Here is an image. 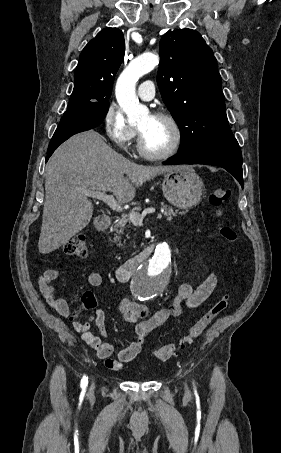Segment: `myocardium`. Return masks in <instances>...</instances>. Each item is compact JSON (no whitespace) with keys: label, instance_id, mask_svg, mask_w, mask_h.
Returning <instances> with one entry per match:
<instances>
[{"label":"myocardium","instance_id":"1","mask_svg":"<svg viewBox=\"0 0 281 453\" xmlns=\"http://www.w3.org/2000/svg\"><path fill=\"white\" fill-rule=\"evenodd\" d=\"M152 117L165 122L171 128L172 133H173L172 144H171L170 148L163 153L151 152V151L147 150V148L145 147L143 135H142L141 131L138 129L137 150H138V153L146 159L166 160V159L172 157L173 155H175V153L177 152V150L180 146L181 140H182V133H181L180 127L178 126L177 122L169 115H166L164 113H156V114L152 115Z\"/></svg>","mask_w":281,"mask_h":453}]
</instances>
